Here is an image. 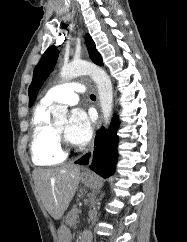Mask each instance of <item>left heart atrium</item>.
<instances>
[{
	"label": "left heart atrium",
	"mask_w": 187,
	"mask_h": 242,
	"mask_svg": "<svg viewBox=\"0 0 187 242\" xmlns=\"http://www.w3.org/2000/svg\"><path fill=\"white\" fill-rule=\"evenodd\" d=\"M92 135L90 116L82 109H73L65 129L66 139L74 145L86 144Z\"/></svg>",
	"instance_id": "obj_1"
}]
</instances>
